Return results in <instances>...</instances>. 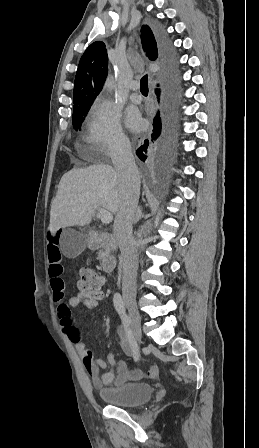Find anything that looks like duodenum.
I'll return each instance as SVG.
<instances>
[{
	"label": "duodenum",
	"instance_id": "obj_1",
	"mask_svg": "<svg viewBox=\"0 0 259 448\" xmlns=\"http://www.w3.org/2000/svg\"><path fill=\"white\" fill-rule=\"evenodd\" d=\"M89 247L93 250L103 249L104 252L100 258L101 268L105 273L112 274L116 268V260L109 254L116 247V240L113 235L105 231L93 232Z\"/></svg>",
	"mask_w": 259,
	"mask_h": 448
}]
</instances>
